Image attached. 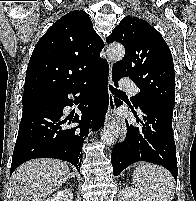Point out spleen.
<instances>
[{
  "label": "spleen",
  "mask_w": 196,
  "mask_h": 201,
  "mask_svg": "<svg viewBox=\"0 0 196 201\" xmlns=\"http://www.w3.org/2000/svg\"><path fill=\"white\" fill-rule=\"evenodd\" d=\"M133 183L146 201H172L175 185L171 174L162 167L142 164L133 172Z\"/></svg>",
  "instance_id": "spleen-1"
}]
</instances>
